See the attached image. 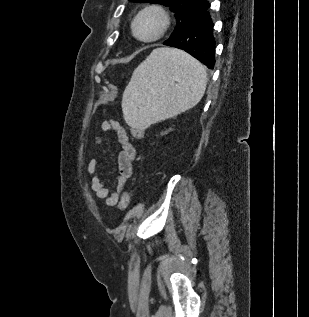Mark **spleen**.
<instances>
[{"mask_svg":"<svg viewBox=\"0 0 309 317\" xmlns=\"http://www.w3.org/2000/svg\"><path fill=\"white\" fill-rule=\"evenodd\" d=\"M205 67L184 51L161 47L133 71L122 99L126 123L146 128L185 112L202 99Z\"/></svg>","mask_w":309,"mask_h":317,"instance_id":"3e777b00","label":"spleen"}]
</instances>
